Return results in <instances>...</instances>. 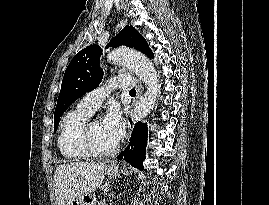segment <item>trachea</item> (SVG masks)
I'll use <instances>...</instances> for the list:
<instances>
[{
    "label": "trachea",
    "instance_id": "obj_1",
    "mask_svg": "<svg viewBox=\"0 0 269 205\" xmlns=\"http://www.w3.org/2000/svg\"><path fill=\"white\" fill-rule=\"evenodd\" d=\"M129 94H136V90L135 89L130 90Z\"/></svg>",
    "mask_w": 269,
    "mask_h": 205
}]
</instances>
